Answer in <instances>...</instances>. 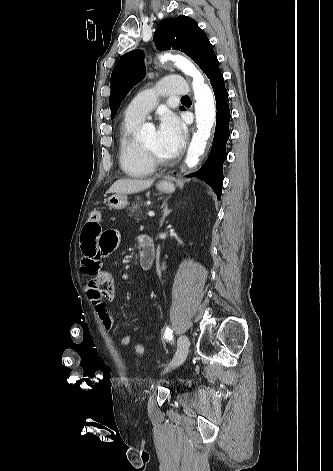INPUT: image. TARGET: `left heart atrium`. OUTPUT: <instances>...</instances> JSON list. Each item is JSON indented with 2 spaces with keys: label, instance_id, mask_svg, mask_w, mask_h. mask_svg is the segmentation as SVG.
I'll return each mask as SVG.
<instances>
[{
  "label": "left heart atrium",
  "instance_id": "1",
  "mask_svg": "<svg viewBox=\"0 0 333 471\" xmlns=\"http://www.w3.org/2000/svg\"><path fill=\"white\" fill-rule=\"evenodd\" d=\"M157 133L163 153L173 157L180 152L185 142V129L175 114L165 112L161 115Z\"/></svg>",
  "mask_w": 333,
  "mask_h": 471
}]
</instances>
